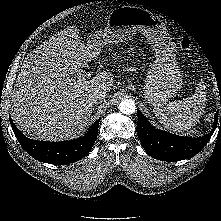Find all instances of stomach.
<instances>
[{"mask_svg": "<svg viewBox=\"0 0 221 221\" xmlns=\"http://www.w3.org/2000/svg\"><path fill=\"white\" fill-rule=\"evenodd\" d=\"M137 32L147 38L155 55L145 79L144 98L150 105L159 106L182 87L175 61V45L170 41L167 28L160 18L139 7L115 8L107 18L106 28L91 34L87 45L99 51L106 45L130 40Z\"/></svg>", "mask_w": 221, "mask_h": 221, "instance_id": "obj_1", "label": "stomach"}]
</instances>
